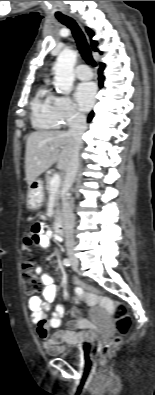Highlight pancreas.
<instances>
[{"mask_svg":"<svg viewBox=\"0 0 155 395\" xmlns=\"http://www.w3.org/2000/svg\"><path fill=\"white\" fill-rule=\"evenodd\" d=\"M51 179H52V176L50 174H46V190H47L48 194H50L51 190H52L51 185H50ZM60 198H61V189L58 188L56 190V193H55V203H54V205H55L56 208H59V205H60L59 204V200H60Z\"/></svg>","mask_w":155,"mask_h":395,"instance_id":"1","label":"pancreas"}]
</instances>
